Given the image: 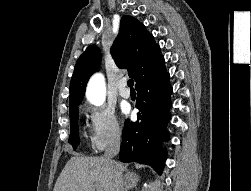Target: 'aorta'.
I'll use <instances>...</instances> for the list:
<instances>
[{
    "label": "aorta",
    "mask_w": 251,
    "mask_h": 191,
    "mask_svg": "<svg viewBox=\"0 0 251 191\" xmlns=\"http://www.w3.org/2000/svg\"><path fill=\"white\" fill-rule=\"evenodd\" d=\"M86 97L94 105H102L105 99V82L102 74H94L90 78L87 88Z\"/></svg>",
    "instance_id": "obj_1"
}]
</instances>
